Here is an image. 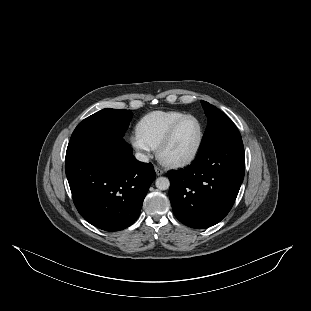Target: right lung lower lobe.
<instances>
[{
	"instance_id": "obj_1",
	"label": "right lung lower lobe",
	"mask_w": 311,
	"mask_h": 311,
	"mask_svg": "<svg viewBox=\"0 0 311 311\" xmlns=\"http://www.w3.org/2000/svg\"><path fill=\"white\" fill-rule=\"evenodd\" d=\"M65 171L78 212L105 231L137 220L156 177L153 165L136 160L122 135L106 130L71 137Z\"/></svg>"
}]
</instances>
